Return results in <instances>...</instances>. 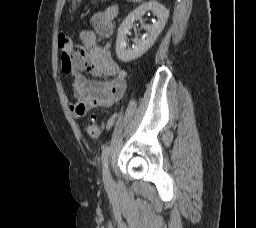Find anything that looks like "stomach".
Returning a JSON list of instances; mask_svg holds the SVG:
<instances>
[{"instance_id":"1","label":"stomach","mask_w":256,"mask_h":228,"mask_svg":"<svg viewBox=\"0 0 256 228\" xmlns=\"http://www.w3.org/2000/svg\"><path fill=\"white\" fill-rule=\"evenodd\" d=\"M76 1L79 2V1H81V0H73L74 4L76 3Z\"/></svg>"}]
</instances>
